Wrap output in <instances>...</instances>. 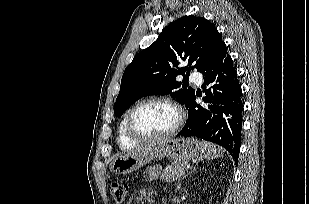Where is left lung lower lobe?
Wrapping results in <instances>:
<instances>
[{
	"label": "left lung lower lobe",
	"instance_id": "0a47b994",
	"mask_svg": "<svg viewBox=\"0 0 309 204\" xmlns=\"http://www.w3.org/2000/svg\"><path fill=\"white\" fill-rule=\"evenodd\" d=\"M202 74L205 80L204 89L206 85L213 84L205 90L206 97L203 98L209 105L202 107L197 104V96L194 95L187 107V123L177 136L199 137L221 145L238 163L243 111L242 89L226 47Z\"/></svg>",
	"mask_w": 309,
	"mask_h": 204
}]
</instances>
